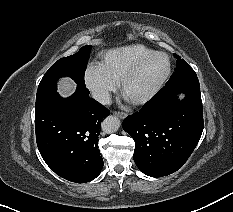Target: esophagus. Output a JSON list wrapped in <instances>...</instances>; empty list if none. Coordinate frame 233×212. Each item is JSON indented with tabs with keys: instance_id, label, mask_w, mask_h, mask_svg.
<instances>
[{
	"instance_id": "34e87169",
	"label": "esophagus",
	"mask_w": 233,
	"mask_h": 212,
	"mask_svg": "<svg viewBox=\"0 0 233 212\" xmlns=\"http://www.w3.org/2000/svg\"><path fill=\"white\" fill-rule=\"evenodd\" d=\"M115 115H117V116H118L119 118H121V119H124V118L127 117V113L121 112V111L115 112Z\"/></svg>"
}]
</instances>
